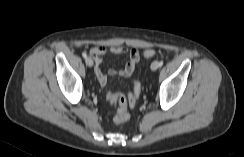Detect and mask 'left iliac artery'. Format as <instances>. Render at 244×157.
Masks as SVG:
<instances>
[{"label":"left iliac artery","instance_id":"left-iliac-artery-1","mask_svg":"<svg viewBox=\"0 0 244 157\" xmlns=\"http://www.w3.org/2000/svg\"><path fill=\"white\" fill-rule=\"evenodd\" d=\"M163 65V61L158 62V67H161Z\"/></svg>","mask_w":244,"mask_h":157}]
</instances>
